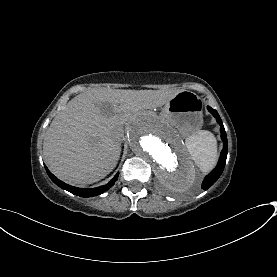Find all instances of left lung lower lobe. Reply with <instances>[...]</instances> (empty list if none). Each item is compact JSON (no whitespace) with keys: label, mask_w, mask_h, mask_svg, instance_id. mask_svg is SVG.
Wrapping results in <instances>:
<instances>
[{"label":"left lung lower lobe","mask_w":277,"mask_h":277,"mask_svg":"<svg viewBox=\"0 0 277 277\" xmlns=\"http://www.w3.org/2000/svg\"><path fill=\"white\" fill-rule=\"evenodd\" d=\"M207 109L216 118L218 124L221 127L220 132H221V138L224 143V146H223V150L221 152L220 159H219V162H218L216 168L208 176H206L203 181L202 188L204 190H207L209 187H211L218 180L220 175L222 174L224 167H225L227 152H228L227 136H226L224 126L222 124V120L216 110L212 109L209 106L207 107Z\"/></svg>","instance_id":"1"}]
</instances>
